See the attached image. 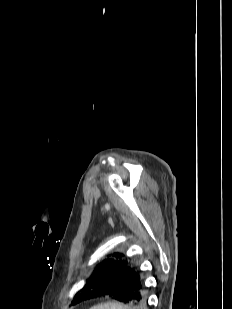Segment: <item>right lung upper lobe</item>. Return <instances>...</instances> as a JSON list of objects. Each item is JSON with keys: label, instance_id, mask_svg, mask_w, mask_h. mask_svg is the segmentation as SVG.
<instances>
[{"label": "right lung upper lobe", "instance_id": "obj_1", "mask_svg": "<svg viewBox=\"0 0 232 309\" xmlns=\"http://www.w3.org/2000/svg\"><path fill=\"white\" fill-rule=\"evenodd\" d=\"M114 257H116V260L114 259H106L103 263H101L96 269L95 272H100V271H107V270H113L116 271L118 267L122 264H126L127 259L124 258L123 254L120 253H114ZM94 272V273H95Z\"/></svg>", "mask_w": 232, "mask_h": 309}]
</instances>
